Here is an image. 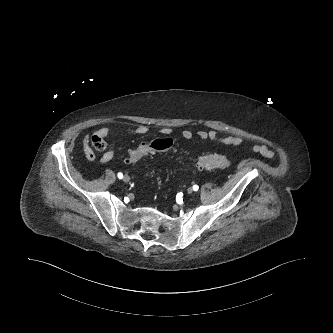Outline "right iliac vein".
<instances>
[{
	"label": "right iliac vein",
	"instance_id": "obj_1",
	"mask_svg": "<svg viewBox=\"0 0 333 333\" xmlns=\"http://www.w3.org/2000/svg\"><path fill=\"white\" fill-rule=\"evenodd\" d=\"M123 181L126 182V183L129 182L130 181V177L128 175H125L123 177Z\"/></svg>",
	"mask_w": 333,
	"mask_h": 333
}]
</instances>
